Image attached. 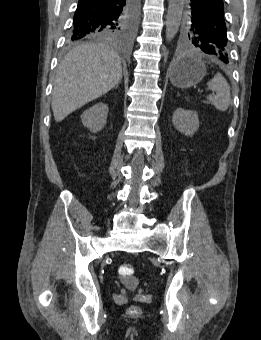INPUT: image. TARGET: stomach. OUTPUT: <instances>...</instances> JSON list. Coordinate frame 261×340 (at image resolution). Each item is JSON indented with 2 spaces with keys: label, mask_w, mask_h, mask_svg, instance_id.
Returning a JSON list of instances; mask_svg holds the SVG:
<instances>
[{
  "label": "stomach",
  "mask_w": 261,
  "mask_h": 340,
  "mask_svg": "<svg viewBox=\"0 0 261 340\" xmlns=\"http://www.w3.org/2000/svg\"><path fill=\"white\" fill-rule=\"evenodd\" d=\"M206 75L204 62L192 55L184 56L175 61L170 69L171 83L178 88H188L199 83Z\"/></svg>",
  "instance_id": "1"
}]
</instances>
